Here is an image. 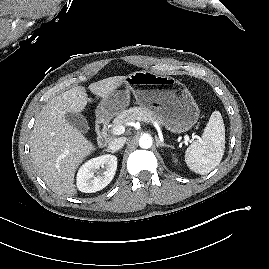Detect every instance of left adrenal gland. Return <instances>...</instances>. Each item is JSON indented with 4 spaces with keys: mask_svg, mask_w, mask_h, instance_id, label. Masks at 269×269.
<instances>
[{
    "mask_svg": "<svg viewBox=\"0 0 269 269\" xmlns=\"http://www.w3.org/2000/svg\"><path fill=\"white\" fill-rule=\"evenodd\" d=\"M156 145L158 148H160V147H170L171 148L170 145H167V144L160 142V140L157 137H156Z\"/></svg>",
    "mask_w": 269,
    "mask_h": 269,
    "instance_id": "a2214340",
    "label": "left adrenal gland"
}]
</instances>
